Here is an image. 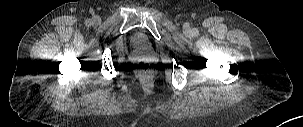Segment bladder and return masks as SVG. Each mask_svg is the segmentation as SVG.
<instances>
[{
  "mask_svg": "<svg viewBox=\"0 0 303 127\" xmlns=\"http://www.w3.org/2000/svg\"><path fill=\"white\" fill-rule=\"evenodd\" d=\"M131 43L134 46H141L144 43V35L141 32H135L131 35Z\"/></svg>",
  "mask_w": 303,
  "mask_h": 127,
  "instance_id": "bladder-1",
  "label": "bladder"
}]
</instances>
